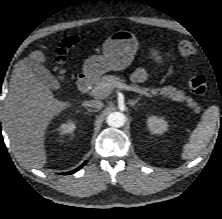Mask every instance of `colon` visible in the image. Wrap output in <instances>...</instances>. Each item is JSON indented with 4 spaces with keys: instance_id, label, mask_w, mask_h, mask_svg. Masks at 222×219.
Here are the masks:
<instances>
[{
    "instance_id": "1",
    "label": "colon",
    "mask_w": 222,
    "mask_h": 219,
    "mask_svg": "<svg viewBox=\"0 0 222 219\" xmlns=\"http://www.w3.org/2000/svg\"><path fill=\"white\" fill-rule=\"evenodd\" d=\"M87 39L85 36H69L62 40L57 50L56 58H55V65L56 69L59 73L60 77H63L65 70H64V63L66 61V53L67 51L74 47L75 45L85 42ZM178 50L184 57L192 58L196 54V49L192 42L188 40H180L178 42ZM189 87L191 91L195 94L202 95L207 90V81L201 75H193L189 79Z\"/></svg>"
}]
</instances>
